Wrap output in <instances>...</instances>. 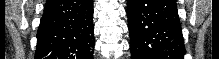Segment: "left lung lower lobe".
Here are the masks:
<instances>
[{"instance_id": "1", "label": "left lung lower lobe", "mask_w": 219, "mask_h": 59, "mask_svg": "<svg viewBox=\"0 0 219 59\" xmlns=\"http://www.w3.org/2000/svg\"><path fill=\"white\" fill-rule=\"evenodd\" d=\"M132 59H184L175 0H127Z\"/></svg>"}]
</instances>
